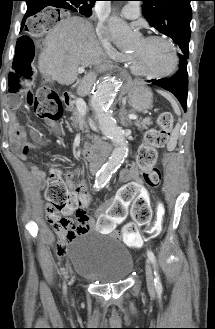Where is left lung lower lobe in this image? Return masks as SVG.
I'll use <instances>...</instances> for the list:
<instances>
[{
	"mask_svg": "<svg viewBox=\"0 0 215 329\" xmlns=\"http://www.w3.org/2000/svg\"><path fill=\"white\" fill-rule=\"evenodd\" d=\"M150 82L173 93L181 103L184 111H186L188 92L187 58L180 59L179 69L172 77L151 80Z\"/></svg>",
	"mask_w": 215,
	"mask_h": 329,
	"instance_id": "left-lung-lower-lobe-1",
	"label": "left lung lower lobe"
}]
</instances>
